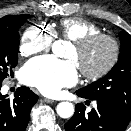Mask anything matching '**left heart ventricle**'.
Returning a JSON list of instances; mask_svg holds the SVG:
<instances>
[{"label": "left heart ventricle", "instance_id": "obj_1", "mask_svg": "<svg viewBox=\"0 0 131 131\" xmlns=\"http://www.w3.org/2000/svg\"><path fill=\"white\" fill-rule=\"evenodd\" d=\"M111 56V46L104 40H99L83 51H78L74 46L69 53V58L74 60L79 68L89 72L101 69Z\"/></svg>", "mask_w": 131, "mask_h": 131}]
</instances>
